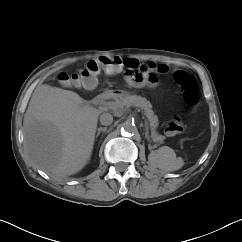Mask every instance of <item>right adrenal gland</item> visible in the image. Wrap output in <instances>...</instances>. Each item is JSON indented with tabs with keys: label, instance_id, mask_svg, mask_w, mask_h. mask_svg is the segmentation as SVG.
Segmentation results:
<instances>
[{
	"label": "right adrenal gland",
	"instance_id": "1",
	"mask_svg": "<svg viewBox=\"0 0 242 242\" xmlns=\"http://www.w3.org/2000/svg\"><path fill=\"white\" fill-rule=\"evenodd\" d=\"M107 130V127H99L97 129V134H96V138L100 135L101 132L105 133Z\"/></svg>",
	"mask_w": 242,
	"mask_h": 242
}]
</instances>
